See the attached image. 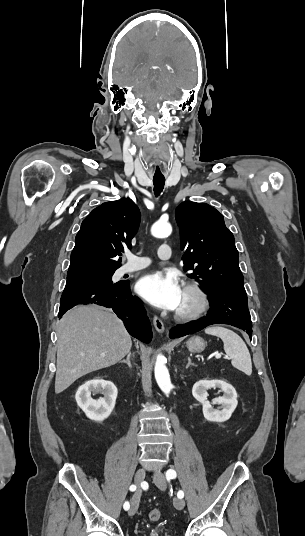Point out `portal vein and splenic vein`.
<instances>
[{
    "label": "portal vein and splenic vein",
    "mask_w": 305,
    "mask_h": 536,
    "mask_svg": "<svg viewBox=\"0 0 305 536\" xmlns=\"http://www.w3.org/2000/svg\"><path fill=\"white\" fill-rule=\"evenodd\" d=\"M221 356H222V354H215V358H217V360H218V358H221ZM227 360H230V358H227Z\"/></svg>",
    "instance_id": "1"
}]
</instances>
